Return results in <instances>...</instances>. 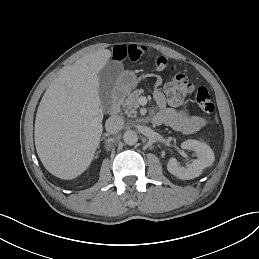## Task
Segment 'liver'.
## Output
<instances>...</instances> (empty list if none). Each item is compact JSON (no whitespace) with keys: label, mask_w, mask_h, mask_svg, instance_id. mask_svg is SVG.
I'll list each match as a JSON object with an SVG mask.
<instances>
[{"label":"liver","mask_w":259,"mask_h":259,"mask_svg":"<svg viewBox=\"0 0 259 259\" xmlns=\"http://www.w3.org/2000/svg\"><path fill=\"white\" fill-rule=\"evenodd\" d=\"M109 49L85 54L49 85L34 126L37 154L45 169L62 180L81 176L92 164L103 134L98 73Z\"/></svg>","instance_id":"6515ba94"}]
</instances>
